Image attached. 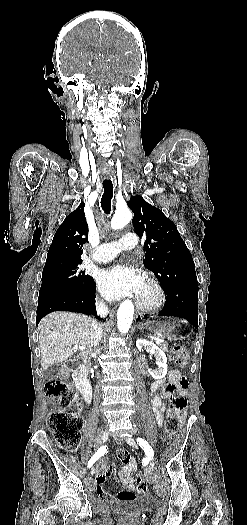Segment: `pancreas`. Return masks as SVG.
<instances>
[{
    "label": "pancreas",
    "mask_w": 247,
    "mask_h": 525,
    "mask_svg": "<svg viewBox=\"0 0 247 525\" xmlns=\"http://www.w3.org/2000/svg\"><path fill=\"white\" fill-rule=\"evenodd\" d=\"M160 349L166 353V351H168V343H161Z\"/></svg>",
    "instance_id": "obj_1"
}]
</instances>
